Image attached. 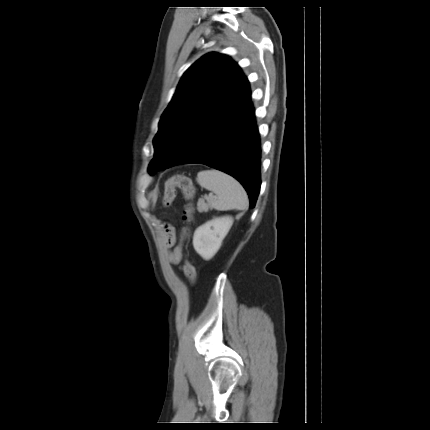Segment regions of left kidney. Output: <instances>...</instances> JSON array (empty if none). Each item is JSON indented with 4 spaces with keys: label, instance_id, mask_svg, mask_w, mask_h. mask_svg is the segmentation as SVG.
Returning <instances> with one entry per match:
<instances>
[{
    "label": "left kidney",
    "instance_id": "obj_1",
    "mask_svg": "<svg viewBox=\"0 0 430 430\" xmlns=\"http://www.w3.org/2000/svg\"><path fill=\"white\" fill-rule=\"evenodd\" d=\"M233 224L230 216L215 217L199 226L193 236L195 251L205 260H210L220 249L221 244Z\"/></svg>",
    "mask_w": 430,
    "mask_h": 430
}]
</instances>
